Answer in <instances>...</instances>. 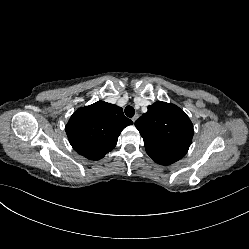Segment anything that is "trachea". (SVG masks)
I'll return each instance as SVG.
<instances>
[{"mask_svg": "<svg viewBox=\"0 0 249 249\" xmlns=\"http://www.w3.org/2000/svg\"><path fill=\"white\" fill-rule=\"evenodd\" d=\"M125 114L127 117L132 118L135 115V110L132 106H127L125 108Z\"/></svg>", "mask_w": 249, "mask_h": 249, "instance_id": "3493384b", "label": "trachea"}]
</instances>
